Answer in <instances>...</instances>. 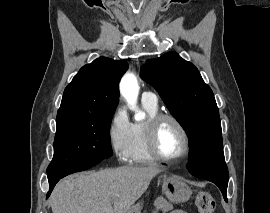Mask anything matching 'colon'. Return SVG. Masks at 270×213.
Masks as SVG:
<instances>
[{
    "instance_id": "1",
    "label": "colon",
    "mask_w": 270,
    "mask_h": 213,
    "mask_svg": "<svg viewBox=\"0 0 270 213\" xmlns=\"http://www.w3.org/2000/svg\"><path fill=\"white\" fill-rule=\"evenodd\" d=\"M195 205L199 213H213L215 210V200L206 191H199L195 196Z\"/></svg>"
}]
</instances>
